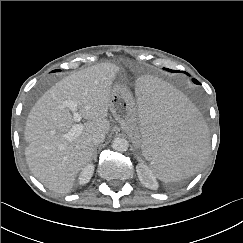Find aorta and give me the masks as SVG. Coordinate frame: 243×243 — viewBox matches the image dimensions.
I'll list each match as a JSON object with an SVG mask.
<instances>
[{"label":"aorta","mask_w":243,"mask_h":243,"mask_svg":"<svg viewBox=\"0 0 243 243\" xmlns=\"http://www.w3.org/2000/svg\"><path fill=\"white\" fill-rule=\"evenodd\" d=\"M128 141L125 138L117 137L112 142V148L115 151L125 152L128 149Z\"/></svg>","instance_id":"1"}]
</instances>
